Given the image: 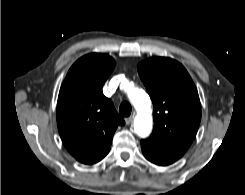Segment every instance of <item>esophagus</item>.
I'll use <instances>...</instances> for the list:
<instances>
[{"label": "esophagus", "mask_w": 245, "mask_h": 195, "mask_svg": "<svg viewBox=\"0 0 245 195\" xmlns=\"http://www.w3.org/2000/svg\"><path fill=\"white\" fill-rule=\"evenodd\" d=\"M132 121H133V116L127 117V118L125 119V123H126L127 125L131 124Z\"/></svg>", "instance_id": "1"}]
</instances>
